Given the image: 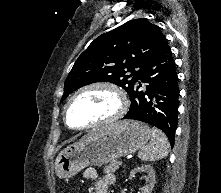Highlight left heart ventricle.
Wrapping results in <instances>:
<instances>
[{"label":"left heart ventricle","instance_id":"b2bd125f","mask_svg":"<svg viewBox=\"0 0 221 193\" xmlns=\"http://www.w3.org/2000/svg\"><path fill=\"white\" fill-rule=\"evenodd\" d=\"M117 107L115 96L105 89L80 94L68 109V122L73 127L89 125L112 114Z\"/></svg>","mask_w":221,"mask_h":193}]
</instances>
